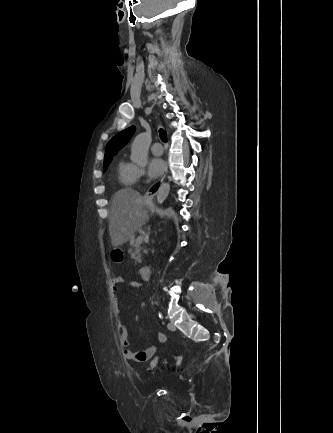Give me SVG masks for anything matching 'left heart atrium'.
Returning a JSON list of instances; mask_svg holds the SVG:
<instances>
[{
    "label": "left heart atrium",
    "mask_w": 333,
    "mask_h": 433,
    "mask_svg": "<svg viewBox=\"0 0 333 433\" xmlns=\"http://www.w3.org/2000/svg\"><path fill=\"white\" fill-rule=\"evenodd\" d=\"M165 169V162L160 157H153L149 161L148 172L153 178L158 177Z\"/></svg>",
    "instance_id": "39dd6f15"
}]
</instances>
